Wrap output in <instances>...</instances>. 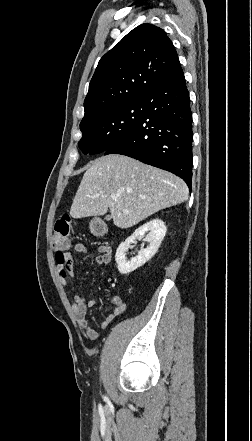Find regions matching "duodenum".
<instances>
[{"label": "duodenum", "mask_w": 252, "mask_h": 441, "mask_svg": "<svg viewBox=\"0 0 252 441\" xmlns=\"http://www.w3.org/2000/svg\"><path fill=\"white\" fill-rule=\"evenodd\" d=\"M93 231H94L96 234H102V233L105 232V228H104V226H103L101 223H99V222H95V223L93 224Z\"/></svg>", "instance_id": "410a0bca"}]
</instances>
